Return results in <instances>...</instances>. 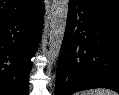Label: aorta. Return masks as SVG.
I'll return each mask as SVG.
<instances>
[{"label": "aorta", "mask_w": 119, "mask_h": 95, "mask_svg": "<svg viewBox=\"0 0 119 95\" xmlns=\"http://www.w3.org/2000/svg\"><path fill=\"white\" fill-rule=\"evenodd\" d=\"M69 0H53L49 35L48 63L52 66L58 60L68 15Z\"/></svg>", "instance_id": "762f6f07"}]
</instances>
